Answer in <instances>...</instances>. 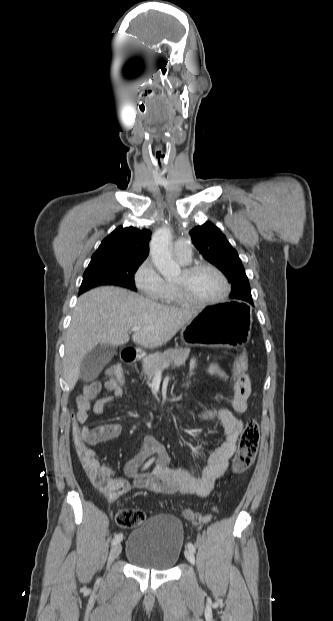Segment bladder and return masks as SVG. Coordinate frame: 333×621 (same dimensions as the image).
Instances as JSON below:
<instances>
[{
  "label": "bladder",
  "mask_w": 333,
  "mask_h": 621,
  "mask_svg": "<svg viewBox=\"0 0 333 621\" xmlns=\"http://www.w3.org/2000/svg\"><path fill=\"white\" fill-rule=\"evenodd\" d=\"M182 523L169 514L151 516L134 527L126 544V559L135 567L164 572L177 563L183 549Z\"/></svg>",
  "instance_id": "bladder-1"
}]
</instances>
